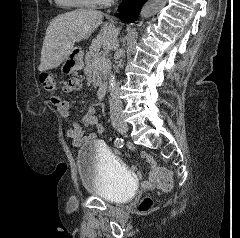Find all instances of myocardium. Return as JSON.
I'll list each match as a JSON object with an SVG mask.
<instances>
[{
	"mask_svg": "<svg viewBox=\"0 0 240 238\" xmlns=\"http://www.w3.org/2000/svg\"><path fill=\"white\" fill-rule=\"evenodd\" d=\"M79 3L85 5V6H97V5H103L107 1L105 0H76Z\"/></svg>",
	"mask_w": 240,
	"mask_h": 238,
	"instance_id": "f54148a6",
	"label": "myocardium"
}]
</instances>
